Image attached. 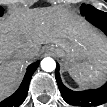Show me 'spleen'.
I'll use <instances>...</instances> for the list:
<instances>
[{
  "label": "spleen",
  "instance_id": "obj_1",
  "mask_svg": "<svg viewBox=\"0 0 107 107\" xmlns=\"http://www.w3.org/2000/svg\"><path fill=\"white\" fill-rule=\"evenodd\" d=\"M72 78L78 83L98 82L104 76L106 70V54L97 57L93 61H87L78 65L69 67Z\"/></svg>",
  "mask_w": 107,
  "mask_h": 107
}]
</instances>
